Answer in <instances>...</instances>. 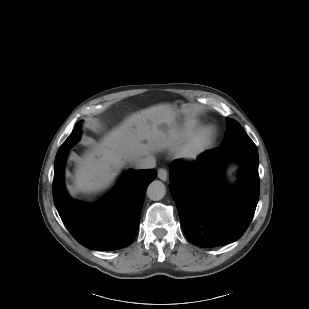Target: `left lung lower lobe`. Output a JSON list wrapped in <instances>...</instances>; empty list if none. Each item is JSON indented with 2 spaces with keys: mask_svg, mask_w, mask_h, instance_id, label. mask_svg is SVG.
Returning <instances> with one entry per match:
<instances>
[{
  "mask_svg": "<svg viewBox=\"0 0 309 309\" xmlns=\"http://www.w3.org/2000/svg\"><path fill=\"white\" fill-rule=\"evenodd\" d=\"M231 159L240 163L236 188L224 182ZM170 190L188 239L201 247H217L239 239L249 226L259 198L258 152L253 142L220 147L191 163L169 166Z\"/></svg>",
  "mask_w": 309,
  "mask_h": 309,
  "instance_id": "1",
  "label": "left lung lower lobe"
}]
</instances>
